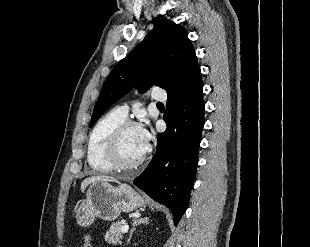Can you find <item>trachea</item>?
<instances>
[{"label":"trachea","instance_id":"3493384b","mask_svg":"<svg viewBox=\"0 0 310 247\" xmlns=\"http://www.w3.org/2000/svg\"><path fill=\"white\" fill-rule=\"evenodd\" d=\"M157 105H163L162 103L158 102Z\"/></svg>","mask_w":310,"mask_h":247}]
</instances>
